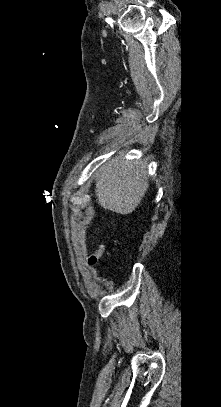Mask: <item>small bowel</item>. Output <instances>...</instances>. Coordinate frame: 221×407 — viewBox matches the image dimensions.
Returning <instances> with one entry per match:
<instances>
[{
	"label": "small bowel",
	"mask_w": 221,
	"mask_h": 407,
	"mask_svg": "<svg viewBox=\"0 0 221 407\" xmlns=\"http://www.w3.org/2000/svg\"><path fill=\"white\" fill-rule=\"evenodd\" d=\"M104 245L102 243H99L95 249V251L91 254H89L86 258V264L89 267L94 266L98 260L102 257L104 253Z\"/></svg>",
	"instance_id": "small-bowel-1"
}]
</instances>
